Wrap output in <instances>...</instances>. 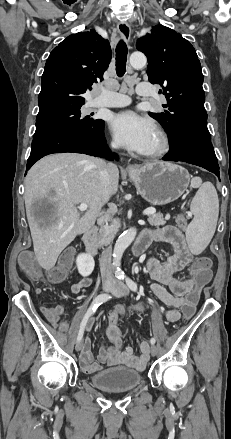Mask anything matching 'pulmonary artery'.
I'll use <instances>...</instances> for the list:
<instances>
[{"label": "pulmonary artery", "instance_id": "e3ab8cb5", "mask_svg": "<svg viewBox=\"0 0 231 439\" xmlns=\"http://www.w3.org/2000/svg\"><path fill=\"white\" fill-rule=\"evenodd\" d=\"M137 94L141 96H150L152 94L151 85L148 83H140L136 87ZM130 98L124 93H118L110 89H103L101 94L92 102L94 107H124L129 105Z\"/></svg>", "mask_w": 231, "mask_h": 439}]
</instances>
